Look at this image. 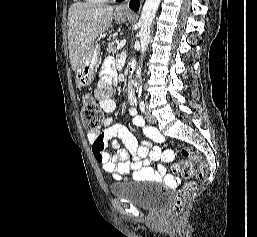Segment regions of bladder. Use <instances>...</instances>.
<instances>
[{
    "instance_id": "31cf9c89",
    "label": "bladder",
    "mask_w": 257,
    "mask_h": 237,
    "mask_svg": "<svg viewBox=\"0 0 257 237\" xmlns=\"http://www.w3.org/2000/svg\"><path fill=\"white\" fill-rule=\"evenodd\" d=\"M147 184L146 180L120 182L112 185L110 192L144 210L152 211L163 207L168 202V192L146 187Z\"/></svg>"
}]
</instances>
